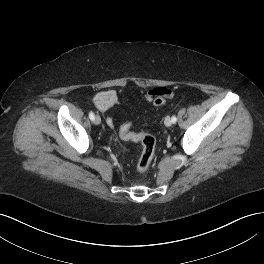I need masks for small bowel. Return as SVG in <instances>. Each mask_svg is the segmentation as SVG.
Here are the masks:
<instances>
[{
	"label": "small bowel",
	"mask_w": 264,
	"mask_h": 264,
	"mask_svg": "<svg viewBox=\"0 0 264 264\" xmlns=\"http://www.w3.org/2000/svg\"><path fill=\"white\" fill-rule=\"evenodd\" d=\"M121 91L110 89L96 93L92 101L99 111H107L120 103ZM174 90L168 87H156L144 92V97L147 101L153 102L156 98H172ZM107 124L114 127V120L111 117L107 118Z\"/></svg>",
	"instance_id": "small-bowel-1"
}]
</instances>
